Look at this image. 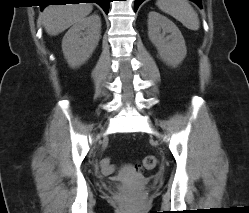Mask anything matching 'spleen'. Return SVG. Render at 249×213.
Listing matches in <instances>:
<instances>
[{
	"label": "spleen",
	"instance_id": "1",
	"mask_svg": "<svg viewBox=\"0 0 249 213\" xmlns=\"http://www.w3.org/2000/svg\"><path fill=\"white\" fill-rule=\"evenodd\" d=\"M156 5L163 12L173 16L190 30H198V14L187 0H157Z\"/></svg>",
	"mask_w": 249,
	"mask_h": 213
}]
</instances>
